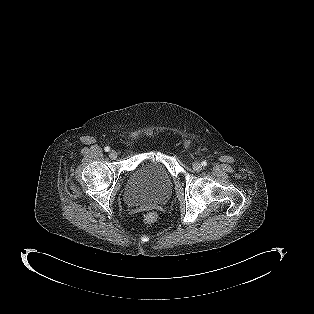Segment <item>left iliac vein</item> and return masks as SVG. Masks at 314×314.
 I'll return each instance as SVG.
<instances>
[{
	"mask_svg": "<svg viewBox=\"0 0 314 314\" xmlns=\"http://www.w3.org/2000/svg\"><path fill=\"white\" fill-rule=\"evenodd\" d=\"M193 169H194L195 171H200V170L202 169L201 163H200V162H194V163H193Z\"/></svg>",
	"mask_w": 314,
	"mask_h": 314,
	"instance_id": "1",
	"label": "left iliac vein"
}]
</instances>
